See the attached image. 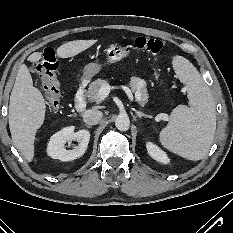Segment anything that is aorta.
Returning a JSON list of instances; mask_svg holds the SVG:
<instances>
[{
    "mask_svg": "<svg viewBox=\"0 0 233 233\" xmlns=\"http://www.w3.org/2000/svg\"><path fill=\"white\" fill-rule=\"evenodd\" d=\"M115 126L120 131H126L129 129L130 120L126 114H120L115 120Z\"/></svg>",
    "mask_w": 233,
    "mask_h": 233,
    "instance_id": "obj_1",
    "label": "aorta"
}]
</instances>
